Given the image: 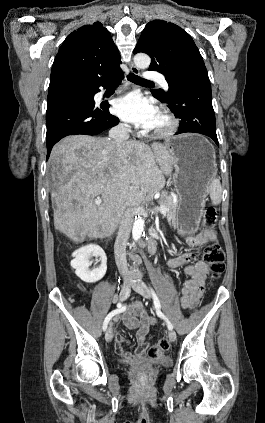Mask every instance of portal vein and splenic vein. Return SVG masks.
<instances>
[{
  "mask_svg": "<svg viewBox=\"0 0 265 423\" xmlns=\"http://www.w3.org/2000/svg\"><path fill=\"white\" fill-rule=\"evenodd\" d=\"M102 203V200L100 199V197H97L96 199H95V204L96 205H100ZM154 210L155 211H157V212H160L161 214H166V212H167V207L165 206V205H160L159 207L158 206H156L155 208H154Z\"/></svg>",
  "mask_w": 265,
  "mask_h": 423,
  "instance_id": "obj_1",
  "label": "portal vein and splenic vein"
}]
</instances>
